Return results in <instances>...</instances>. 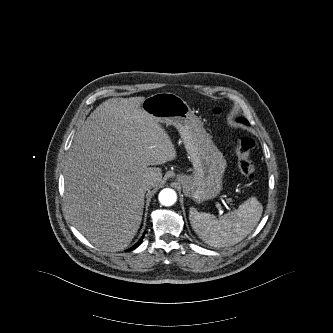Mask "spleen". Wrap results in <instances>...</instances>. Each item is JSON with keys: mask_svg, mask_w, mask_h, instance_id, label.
I'll return each instance as SVG.
<instances>
[{"mask_svg": "<svg viewBox=\"0 0 333 333\" xmlns=\"http://www.w3.org/2000/svg\"><path fill=\"white\" fill-rule=\"evenodd\" d=\"M263 206L256 197H250L234 212L220 218L209 213L198 212L191 207L189 220L194 232L205 243L213 247L232 246L242 241L258 224Z\"/></svg>", "mask_w": 333, "mask_h": 333, "instance_id": "spleen-1", "label": "spleen"}]
</instances>
